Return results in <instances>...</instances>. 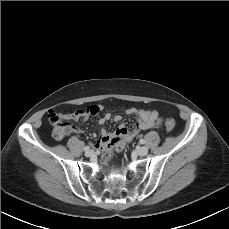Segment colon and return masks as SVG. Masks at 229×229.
<instances>
[{
  "instance_id": "colon-1",
  "label": "colon",
  "mask_w": 229,
  "mask_h": 229,
  "mask_svg": "<svg viewBox=\"0 0 229 229\" xmlns=\"http://www.w3.org/2000/svg\"><path fill=\"white\" fill-rule=\"evenodd\" d=\"M85 112L88 115H96L99 112V106L91 105L86 108ZM48 117H49V122L54 127L55 137L57 138L62 137L65 134V132L69 129V124L65 122L64 120H62L61 117L53 111H50ZM175 126H176V123L173 119H167L165 121V128L168 131H172L175 128ZM119 141H120V138H114L111 142L112 147H118ZM111 153H112L111 150L107 151V153L103 157V160L106 162L109 161L111 159Z\"/></svg>"
}]
</instances>
